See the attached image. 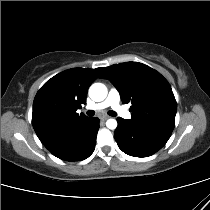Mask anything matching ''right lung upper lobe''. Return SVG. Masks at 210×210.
<instances>
[{"label": "right lung upper lobe", "mask_w": 210, "mask_h": 210, "mask_svg": "<svg viewBox=\"0 0 210 210\" xmlns=\"http://www.w3.org/2000/svg\"><path fill=\"white\" fill-rule=\"evenodd\" d=\"M103 68H72L49 79L33 102L32 124L43 144L68 127L87 119L76 110L85 104L87 91Z\"/></svg>", "instance_id": "cb5924a9"}]
</instances>
